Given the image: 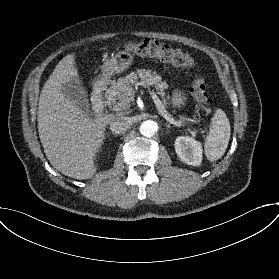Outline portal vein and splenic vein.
Instances as JSON below:
<instances>
[{
	"label": "portal vein and splenic vein",
	"instance_id": "portal-vein-and-splenic-vein-1",
	"mask_svg": "<svg viewBox=\"0 0 279 279\" xmlns=\"http://www.w3.org/2000/svg\"><path fill=\"white\" fill-rule=\"evenodd\" d=\"M152 99L154 100V103L156 104L159 113L162 114V116L171 124L180 127L181 126V122L180 121H175L171 115L168 114L167 110L165 109L164 105L162 104L161 100L158 98V96L153 93L150 92Z\"/></svg>",
	"mask_w": 279,
	"mask_h": 279
}]
</instances>
